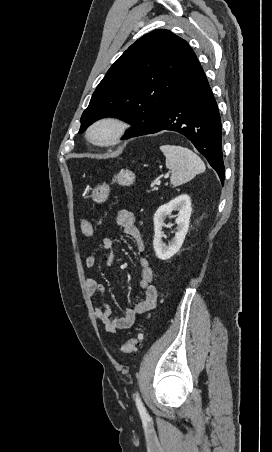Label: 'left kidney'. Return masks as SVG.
<instances>
[{
  "instance_id": "5707ae66",
  "label": "left kidney",
  "mask_w": 272,
  "mask_h": 452,
  "mask_svg": "<svg viewBox=\"0 0 272 452\" xmlns=\"http://www.w3.org/2000/svg\"><path fill=\"white\" fill-rule=\"evenodd\" d=\"M178 211L175 223L177 224V232L169 245L162 242V227L164 220L172 211ZM192 212L191 199L189 195L182 194L168 203L161 205L154 214V240L153 246L156 256L161 260L170 259L176 254L185 239L189 229V220Z\"/></svg>"
}]
</instances>
